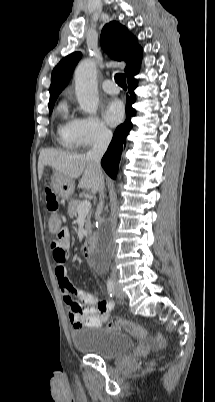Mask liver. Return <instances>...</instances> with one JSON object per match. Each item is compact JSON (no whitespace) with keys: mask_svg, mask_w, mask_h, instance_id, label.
Instances as JSON below:
<instances>
[{"mask_svg":"<svg viewBox=\"0 0 215 402\" xmlns=\"http://www.w3.org/2000/svg\"><path fill=\"white\" fill-rule=\"evenodd\" d=\"M45 166L52 167L72 180L82 176L78 187L91 190L93 194L99 190L100 182L103 180L102 173L95 169L84 154L45 149L40 152L38 160L39 179L42 178Z\"/></svg>","mask_w":215,"mask_h":402,"instance_id":"6515ba94","label":"liver"}]
</instances>
